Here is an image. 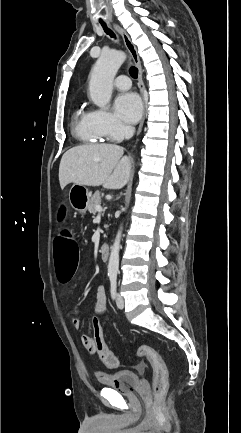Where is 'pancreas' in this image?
Returning <instances> with one entry per match:
<instances>
[{
    "label": "pancreas",
    "mask_w": 241,
    "mask_h": 433,
    "mask_svg": "<svg viewBox=\"0 0 241 433\" xmlns=\"http://www.w3.org/2000/svg\"><path fill=\"white\" fill-rule=\"evenodd\" d=\"M102 202L100 192H95L94 195L90 198L88 204V211L92 214L96 213V206L100 205ZM107 228V226H105Z\"/></svg>",
    "instance_id": "cf45deb5"
}]
</instances>
